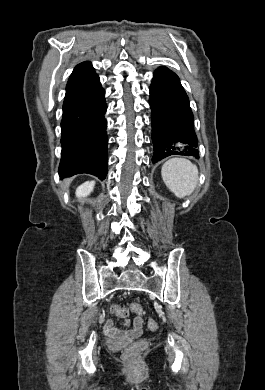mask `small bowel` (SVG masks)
I'll return each mask as SVG.
<instances>
[{
	"label": "small bowel",
	"instance_id": "c3829d8e",
	"mask_svg": "<svg viewBox=\"0 0 265 390\" xmlns=\"http://www.w3.org/2000/svg\"><path fill=\"white\" fill-rule=\"evenodd\" d=\"M143 323L144 322L141 317H136L133 321V327L131 329H126V327L129 325V322H125L124 327H118L113 321L109 320L105 323V330L110 335L132 339L138 337L141 334Z\"/></svg>",
	"mask_w": 265,
	"mask_h": 390
}]
</instances>
